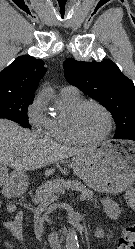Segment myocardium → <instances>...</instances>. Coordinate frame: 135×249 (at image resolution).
<instances>
[{
	"label": "myocardium",
	"instance_id": "obj_1",
	"mask_svg": "<svg viewBox=\"0 0 135 249\" xmlns=\"http://www.w3.org/2000/svg\"><path fill=\"white\" fill-rule=\"evenodd\" d=\"M88 106H94V107H97L98 109H100L104 113V115L106 116V119H107L106 132L101 137L96 138V139L84 138L79 133L77 126H76L77 119H78L80 113ZM67 125H68V130H69L71 137L74 139V141L77 144L97 145V144H100L101 142H103L104 140H106L110 136V134L112 132V128H113V117H112L111 112L103 104H101L97 101H92V100L82 101L76 107H74L71 110V112L69 113L68 119H67Z\"/></svg>",
	"mask_w": 135,
	"mask_h": 249
}]
</instances>
